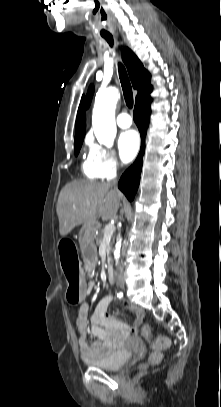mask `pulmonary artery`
<instances>
[{
    "instance_id": "1",
    "label": "pulmonary artery",
    "mask_w": 221,
    "mask_h": 407,
    "mask_svg": "<svg viewBox=\"0 0 221 407\" xmlns=\"http://www.w3.org/2000/svg\"><path fill=\"white\" fill-rule=\"evenodd\" d=\"M117 125L121 128H128L132 125V119L126 112L120 113L116 118Z\"/></svg>"
}]
</instances>
